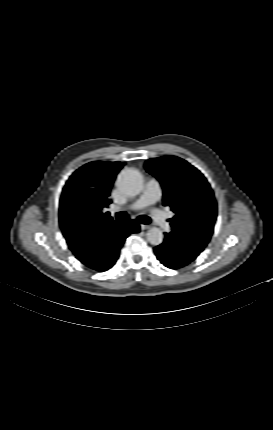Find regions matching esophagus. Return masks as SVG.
<instances>
[{
	"label": "esophagus",
	"instance_id": "esophagus-1",
	"mask_svg": "<svg viewBox=\"0 0 273 430\" xmlns=\"http://www.w3.org/2000/svg\"><path fill=\"white\" fill-rule=\"evenodd\" d=\"M150 225H144V224H141V230H146V229H150Z\"/></svg>",
	"mask_w": 273,
	"mask_h": 430
}]
</instances>
